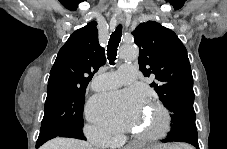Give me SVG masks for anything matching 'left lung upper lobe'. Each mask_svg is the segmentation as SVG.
<instances>
[{
  "instance_id": "1",
  "label": "left lung upper lobe",
  "mask_w": 227,
  "mask_h": 149,
  "mask_svg": "<svg viewBox=\"0 0 227 149\" xmlns=\"http://www.w3.org/2000/svg\"><path fill=\"white\" fill-rule=\"evenodd\" d=\"M140 49L139 66L150 86L172 116V128L195 126L194 91L187 51L177 35L155 21L141 23L132 32Z\"/></svg>"
}]
</instances>
